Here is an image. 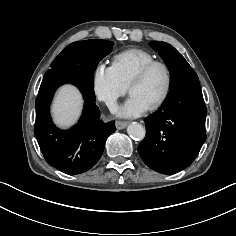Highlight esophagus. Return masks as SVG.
I'll list each match as a JSON object with an SVG mask.
<instances>
[{
  "label": "esophagus",
  "instance_id": "34e87169",
  "mask_svg": "<svg viewBox=\"0 0 236 236\" xmlns=\"http://www.w3.org/2000/svg\"><path fill=\"white\" fill-rule=\"evenodd\" d=\"M128 125L125 121H116L115 126L118 130L124 129Z\"/></svg>",
  "mask_w": 236,
  "mask_h": 236
}]
</instances>
